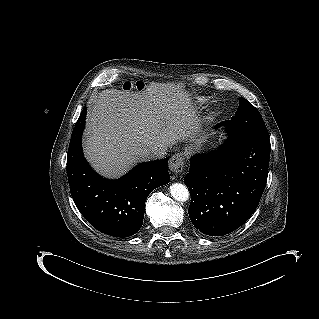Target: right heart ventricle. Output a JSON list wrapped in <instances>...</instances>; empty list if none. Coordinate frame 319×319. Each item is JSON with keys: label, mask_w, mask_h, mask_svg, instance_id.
Here are the masks:
<instances>
[{"label": "right heart ventricle", "mask_w": 319, "mask_h": 319, "mask_svg": "<svg viewBox=\"0 0 319 319\" xmlns=\"http://www.w3.org/2000/svg\"><path fill=\"white\" fill-rule=\"evenodd\" d=\"M197 101H198V103L203 104V103H205V102L207 101V98H205V97H198V98H197Z\"/></svg>", "instance_id": "1"}]
</instances>
